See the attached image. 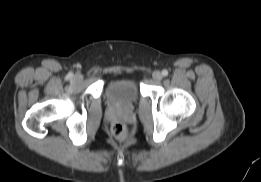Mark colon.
<instances>
[{
	"label": "colon",
	"mask_w": 261,
	"mask_h": 182,
	"mask_svg": "<svg viewBox=\"0 0 261 182\" xmlns=\"http://www.w3.org/2000/svg\"><path fill=\"white\" fill-rule=\"evenodd\" d=\"M113 135L119 140H126L128 138V129L126 125L122 122H116L112 126Z\"/></svg>",
	"instance_id": "5ec220e1"
}]
</instances>
